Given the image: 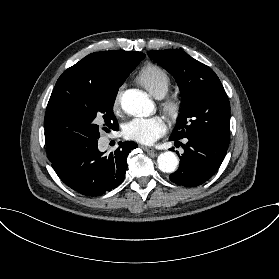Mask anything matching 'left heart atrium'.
Returning a JSON list of instances; mask_svg holds the SVG:
<instances>
[{"label":"left heart atrium","mask_w":279,"mask_h":279,"mask_svg":"<svg viewBox=\"0 0 279 279\" xmlns=\"http://www.w3.org/2000/svg\"><path fill=\"white\" fill-rule=\"evenodd\" d=\"M166 132V125L160 116L135 117L122 128L123 136L141 144H151Z\"/></svg>","instance_id":"1"}]
</instances>
